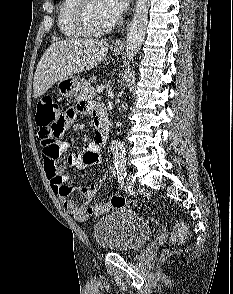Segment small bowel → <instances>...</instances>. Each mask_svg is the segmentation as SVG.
<instances>
[{
    "label": "small bowel",
    "instance_id": "small-bowel-1",
    "mask_svg": "<svg viewBox=\"0 0 233 294\" xmlns=\"http://www.w3.org/2000/svg\"><path fill=\"white\" fill-rule=\"evenodd\" d=\"M95 103L73 104V108H58L57 120H52L47 131L38 132L42 145L44 160V170L50 182L53 192L59 197L64 208L78 221H85L92 214L90 208L95 200L99 189L107 181L104 175L97 182L89 186L79 187V192L85 197L81 205L76 204L71 198V187L68 184V176L65 174L66 166L74 169H83L94 166L102 162V143L95 139L88 143L82 150L76 152H66L69 144L66 137L72 134L69 126H75V119L79 115H86L92 118L95 127L94 108ZM42 137H50L52 143L46 142Z\"/></svg>",
    "mask_w": 233,
    "mask_h": 294
}]
</instances>
